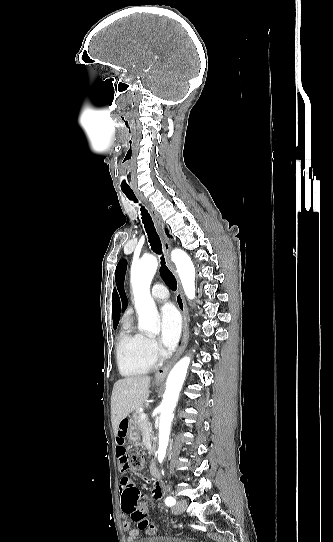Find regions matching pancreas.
<instances>
[{
  "mask_svg": "<svg viewBox=\"0 0 333 542\" xmlns=\"http://www.w3.org/2000/svg\"><path fill=\"white\" fill-rule=\"evenodd\" d=\"M141 414H144V412H139V410H135L133 414V420L138 430H140L141 434H143V432H149V436L153 442L154 436L152 428L150 426V422H148V418H145V420H141ZM152 446H154V444H152ZM149 456H151V454H149Z\"/></svg>",
  "mask_w": 333,
  "mask_h": 542,
  "instance_id": "cf45deb5",
  "label": "pancreas"
}]
</instances>
